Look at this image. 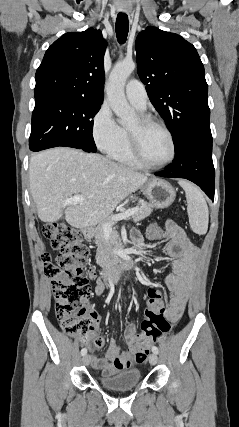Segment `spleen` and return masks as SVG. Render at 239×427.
Here are the masks:
<instances>
[{
    "mask_svg": "<svg viewBox=\"0 0 239 427\" xmlns=\"http://www.w3.org/2000/svg\"><path fill=\"white\" fill-rule=\"evenodd\" d=\"M178 183L186 194L189 223L193 232L198 235L206 234L208 230L209 211L203 194L196 186L188 181L179 180Z\"/></svg>",
    "mask_w": 239,
    "mask_h": 427,
    "instance_id": "3e777b00",
    "label": "spleen"
}]
</instances>
